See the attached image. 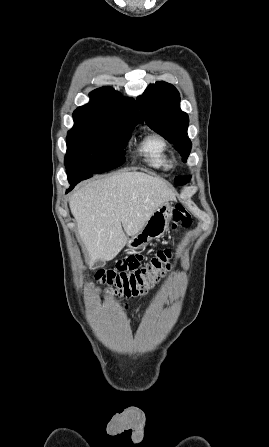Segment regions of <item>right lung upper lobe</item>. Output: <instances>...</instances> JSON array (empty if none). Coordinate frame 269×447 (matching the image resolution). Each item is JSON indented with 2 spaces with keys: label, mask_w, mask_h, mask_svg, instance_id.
Returning a JSON list of instances; mask_svg holds the SVG:
<instances>
[{
  "label": "right lung upper lobe",
  "mask_w": 269,
  "mask_h": 447,
  "mask_svg": "<svg viewBox=\"0 0 269 447\" xmlns=\"http://www.w3.org/2000/svg\"><path fill=\"white\" fill-rule=\"evenodd\" d=\"M90 102L78 107L73 117L110 124H134L143 120L134 99L123 98L111 87H102L90 93Z\"/></svg>",
  "instance_id": "cb5924a9"
}]
</instances>
